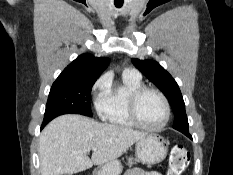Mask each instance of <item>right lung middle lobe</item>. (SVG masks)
Instances as JSON below:
<instances>
[{
  "mask_svg": "<svg viewBox=\"0 0 233 175\" xmlns=\"http://www.w3.org/2000/svg\"><path fill=\"white\" fill-rule=\"evenodd\" d=\"M96 80L55 81L49 93L42 126L63 114L91 117L90 94Z\"/></svg>",
  "mask_w": 233,
  "mask_h": 175,
  "instance_id": "obj_1",
  "label": "right lung middle lobe"
}]
</instances>
